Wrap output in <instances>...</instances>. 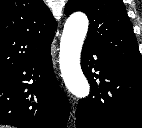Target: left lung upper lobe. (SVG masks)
Returning <instances> with one entry per match:
<instances>
[{
  "mask_svg": "<svg viewBox=\"0 0 142 128\" xmlns=\"http://www.w3.org/2000/svg\"><path fill=\"white\" fill-rule=\"evenodd\" d=\"M76 11L89 19L86 44L102 50L117 64L142 69V56L122 0H69L65 14Z\"/></svg>",
  "mask_w": 142,
  "mask_h": 128,
  "instance_id": "obj_1",
  "label": "left lung upper lobe"
}]
</instances>
